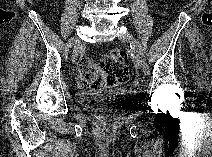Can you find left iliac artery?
<instances>
[{
	"label": "left iliac artery",
	"instance_id": "left-iliac-artery-1",
	"mask_svg": "<svg viewBox=\"0 0 212 157\" xmlns=\"http://www.w3.org/2000/svg\"><path fill=\"white\" fill-rule=\"evenodd\" d=\"M135 46H136V48L138 50V53L141 55L143 67H144V70H145V74L149 75L150 74V67H149V65L147 63V59H146V56H145L144 48H143L142 44L138 40H135Z\"/></svg>",
	"mask_w": 212,
	"mask_h": 157
}]
</instances>
